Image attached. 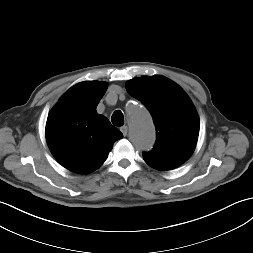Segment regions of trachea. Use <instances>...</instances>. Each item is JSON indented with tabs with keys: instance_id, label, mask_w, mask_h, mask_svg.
I'll return each instance as SVG.
<instances>
[{
	"instance_id": "trachea-1",
	"label": "trachea",
	"mask_w": 253,
	"mask_h": 253,
	"mask_svg": "<svg viewBox=\"0 0 253 253\" xmlns=\"http://www.w3.org/2000/svg\"><path fill=\"white\" fill-rule=\"evenodd\" d=\"M111 121L115 126H122L124 124V116L120 110L113 113Z\"/></svg>"
}]
</instances>
